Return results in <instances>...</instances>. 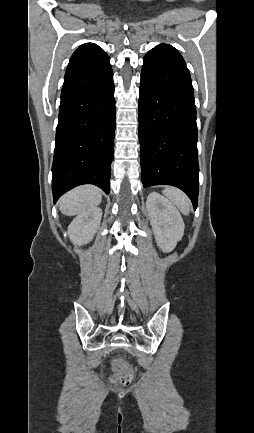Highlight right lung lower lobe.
Wrapping results in <instances>:
<instances>
[{"label":"right lung lower lobe","mask_w":254,"mask_h":433,"mask_svg":"<svg viewBox=\"0 0 254 433\" xmlns=\"http://www.w3.org/2000/svg\"><path fill=\"white\" fill-rule=\"evenodd\" d=\"M115 98L110 58L66 71L52 165L54 203L70 189L94 184L110 191Z\"/></svg>","instance_id":"1"}]
</instances>
